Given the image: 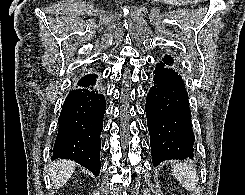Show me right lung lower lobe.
<instances>
[{"instance_id": "98d812e1", "label": "right lung lower lobe", "mask_w": 245, "mask_h": 195, "mask_svg": "<svg viewBox=\"0 0 245 195\" xmlns=\"http://www.w3.org/2000/svg\"><path fill=\"white\" fill-rule=\"evenodd\" d=\"M105 108L97 75L81 77L62 107L52 159L74 160L98 176Z\"/></svg>"}]
</instances>
